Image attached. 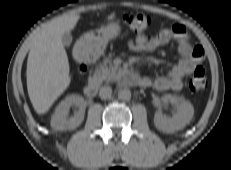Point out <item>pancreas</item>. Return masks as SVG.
I'll return each mask as SVG.
<instances>
[{"instance_id":"pancreas-1","label":"pancreas","mask_w":231,"mask_h":170,"mask_svg":"<svg viewBox=\"0 0 231 170\" xmlns=\"http://www.w3.org/2000/svg\"><path fill=\"white\" fill-rule=\"evenodd\" d=\"M93 77L99 81H113L117 78V67L112 64H102L95 70Z\"/></svg>"}]
</instances>
